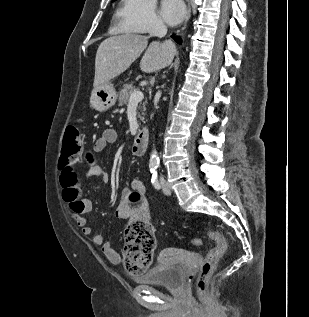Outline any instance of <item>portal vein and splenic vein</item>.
<instances>
[{"instance_id": "obj_1", "label": "portal vein and splenic vein", "mask_w": 309, "mask_h": 317, "mask_svg": "<svg viewBox=\"0 0 309 317\" xmlns=\"http://www.w3.org/2000/svg\"><path fill=\"white\" fill-rule=\"evenodd\" d=\"M144 98V95L139 90H134L132 94L130 95L128 106L137 105L139 102H141Z\"/></svg>"}]
</instances>
